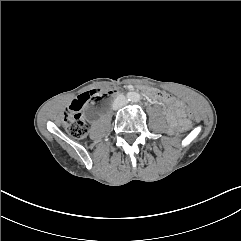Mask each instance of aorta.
Wrapping results in <instances>:
<instances>
[{
    "mask_svg": "<svg viewBox=\"0 0 241 241\" xmlns=\"http://www.w3.org/2000/svg\"><path fill=\"white\" fill-rule=\"evenodd\" d=\"M130 100L133 101V102H137L140 100V95L136 92H133L131 95H130Z\"/></svg>",
    "mask_w": 241,
    "mask_h": 241,
    "instance_id": "762f6f07",
    "label": "aorta"
}]
</instances>
